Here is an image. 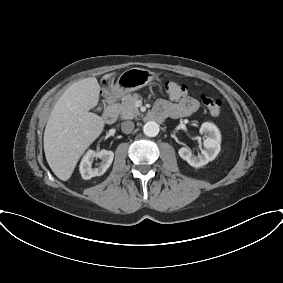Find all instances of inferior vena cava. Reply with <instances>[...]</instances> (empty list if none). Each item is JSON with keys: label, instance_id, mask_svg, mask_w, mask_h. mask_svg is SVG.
<instances>
[{"label": "inferior vena cava", "instance_id": "1", "mask_svg": "<svg viewBox=\"0 0 283 283\" xmlns=\"http://www.w3.org/2000/svg\"><path fill=\"white\" fill-rule=\"evenodd\" d=\"M134 122L132 121H124L121 123V130L122 132L129 134L134 130Z\"/></svg>", "mask_w": 283, "mask_h": 283}]
</instances>
